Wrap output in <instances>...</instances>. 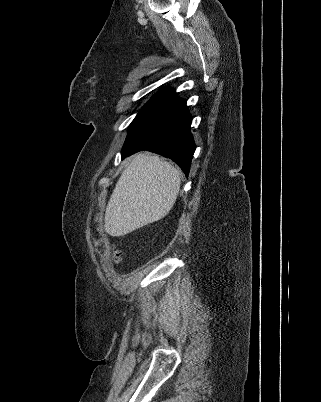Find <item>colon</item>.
<instances>
[{
  "label": "colon",
  "instance_id": "colon-1",
  "mask_svg": "<svg viewBox=\"0 0 321 402\" xmlns=\"http://www.w3.org/2000/svg\"><path fill=\"white\" fill-rule=\"evenodd\" d=\"M116 261L119 262L121 260V254L119 252L116 253Z\"/></svg>",
  "mask_w": 321,
  "mask_h": 402
}]
</instances>
